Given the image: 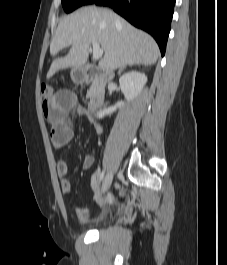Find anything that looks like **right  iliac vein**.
Here are the masks:
<instances>
[{
    "label": "right iliac vein",
    "instance_id": "63e3f726",
    "mask_svg": "<svg viewBox=\"0 0 227 265\" xmlns=\"http://www.w3.org/2000/svg\"><path fill=\"white\" fill-rule=\"evenodd\" d=\"M112 179H113V175L112 174H108L105 177L104 182H103V186H102V191L103 192L107 191L110 188L111 183H112Z\"/></svg>",
    "mask_w": 227,
    "mask_h": 265
}]
</instances>
